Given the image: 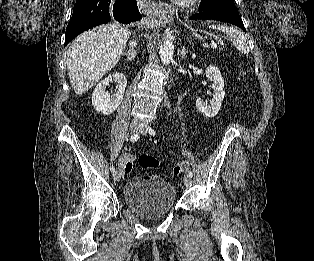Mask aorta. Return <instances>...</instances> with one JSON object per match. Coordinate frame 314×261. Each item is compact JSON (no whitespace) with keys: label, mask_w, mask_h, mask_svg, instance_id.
I'll use <instances>...</instances> for the list:
<instances>
[{"label":"aorta","mask_w":314,"mask_h":261,"mask_svg":"<svg viewBox=\"0 0 314 261\" xmlns=\"http://www.w3.org/2000/svg\"><path fill=\"white\" fill-rule=\"evenodd\" d=\"M174 44L173 38L167 37L160 47V59L163 65H168L173 60Z\"/></svg>","instance_id":"obj_1"}]
</instances>
